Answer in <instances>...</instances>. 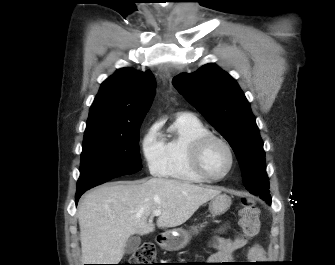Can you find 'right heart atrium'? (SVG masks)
<instances>
[{"instance_id":"right-heart-atrium-1","label":"right heart atrium","mask_w":335,"mask_h":265,"mask_svg":"<svg viewBox=\"0 0 335 265\" xmlns=\"http://www.w3.org/2000/svg\"><path fill=\"white\" fill-rule=\"evenodd\" d=\"M141 148L149 171L156 176L163 175L165 170L164 143L157 123L145 133Z\"/></svg>"}]
</instances>
